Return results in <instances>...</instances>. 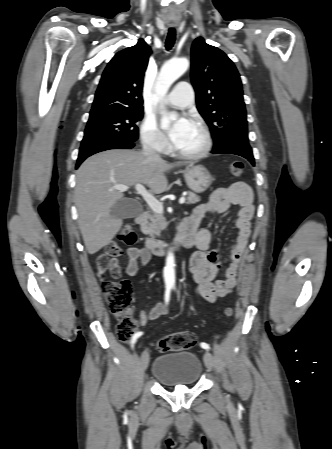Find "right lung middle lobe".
Segmentation results:
<instances>
[{
    "instance_id": "dd1d6c3e",
    "label": "right lung middle lobe",
    "mask_w": 332,
    "mask_h": 449,
    "mask_svg": "<svg viewBox=\"0 0 332 449\" xmlns=\"http://www.w3.org/2000/svg\"><path fill=\"white\" fill-rule=\"evenodd\" d=\"M143 117V109H118L90 113L81 146L103 140L135 142L138 128L135 125Z\"/></svg>"
}]
</instances>
